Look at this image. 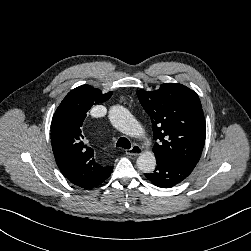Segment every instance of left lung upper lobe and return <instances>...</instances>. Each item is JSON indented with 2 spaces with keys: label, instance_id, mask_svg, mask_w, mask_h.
Here are the masks:
<instances>
[{
  "label": "left lung upper lobe",
  "instance_id": "1",
  "mask_svg": "<svg viewBox=\"0 0 251 251\" xmlns=\"http://www.w3.org/2000/svg\"><path fill=\"white\" fill-rule=\"evenodd\" d=\"M150 116L156 158L169 160L193 170L205 143V118L197 93L184 85L165 83L156 91H137Z\"/></svg>",
  "mask_w": 251,
  "mask_h": 251
}]
</instances>
